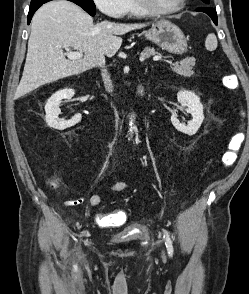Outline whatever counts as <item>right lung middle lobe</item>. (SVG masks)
<instances>
[{
	"label": "right lung middle lobe",
	"mask_w": 249,
	"mask_h": 294,
	"mask_svg": "<svg viewBox=\"0 0 249 294\" xmlns=\"http://www.w3.org/2000/svg\"><path fill=\"white\" fill-rule=\"evenodd\" d=\"M48 1H51V0H31L30 6H34L40 3H45ZM69 1H72L76 3L77 5H79L80 7H82L91 16H94L96 13V8H95V4L93 0H69Z\"/></svg>",
	"instance_id": "right-lung-middle-lobe-1"
}]
</instances>
